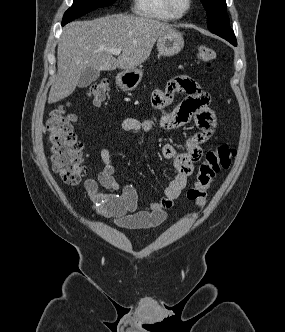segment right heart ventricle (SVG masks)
Masks as SVG:
<instances>
[{"instance_id": "obj_1", "label": "right heart ventricle", "mask_w": 285, "mask_h": 332, "mask_svg": "<svg viewBox=\"0 0 285 332\" xmlns=\"http://www.w3.org/2000/svg\"><path fill=\"white\" fill-rule=\"evenodd\" d=\"M133 12L137 16L157 21L179 19L168 10L165 0H133Z\"/></svg>"}]
</instances>
